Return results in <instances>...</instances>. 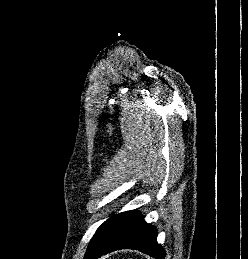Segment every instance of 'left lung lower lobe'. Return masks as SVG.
<instances>
[{"label": "left lung lower lobe", "instance_id": "1", "mask_svg": "<svg viewBox=\"0 0 248 259\" xmlns=\"http://www.w3.org/2000/svg\"><path fill=\"white\" fill-rule=\"evenodd\" d=\"M156 237V228L147 224L137 211L120 213L98 228L84 259H97L119 249H135L156 259H165V252Z\"/></svg>", "mask_w": 248, "mask_h": 259}]
</instances>
